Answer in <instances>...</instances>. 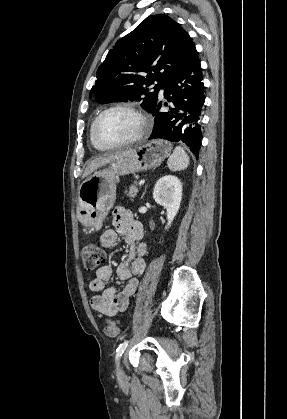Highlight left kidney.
Instances as JSON below:
<instances>
[{
    "label": "left kidney",
    "mask_w": 287,
    "mask_h": 419,
    "mask_svg": "<svg viewBox=\"0 0 287 419\" xmlns=\"http://www.w3.org/2000/svg\"><path fill=\"white\" fill-rule=\"evenodd\" d=\"M153 198L156 203L163 206L167 210V226H171L182 200V183L173 175H165L161 177L155 184Z\"/></svg>",
    "instance_id": "1"
}]
</instances>
